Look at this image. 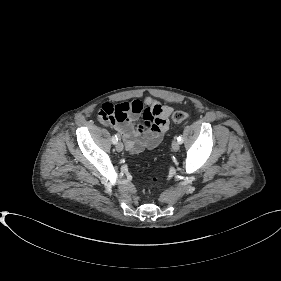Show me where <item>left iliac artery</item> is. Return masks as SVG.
Listing matches in <instances>:
<instances>
[{"label": "left iliac artery", "mask_w": 281, "mask_h": 281, "mask_svg": "<svg viewBox=\"0 0 281 281\" xmlns=\"http://www.w3.org/2000/svg\"><path fill=\"white\" fill-rule=\"evenodd\" d=\"M177 140L179 141V143H182V142H183V137H182V136H179V137L177 138Z\"/></svg>", "instance_id": "obj_1"}]
</instances>
